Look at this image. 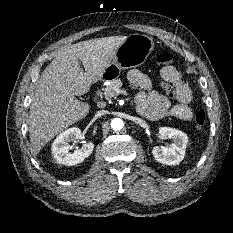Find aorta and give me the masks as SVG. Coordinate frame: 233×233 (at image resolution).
<instances>
[{"label": "aorta", "mask_w": 233, "mask_h": 233, "mask_svg": "<svg viewBox=\"0 0 233 233\" xmlns=\"http://www.w3.org/2000/svg\"><path fill=\"white\" fill-rule=\"evenodd\" d=\"M124 126V122L122 119L120 118H115L111 121V128L114 130V131H118V130H121Z\"/></svg>", "instance_id": "1"}]
</instances>
